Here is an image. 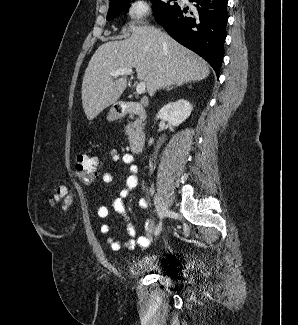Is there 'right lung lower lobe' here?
Masks as SVG:
<instances>
[{"instance_id":"1","label":"right lung lower lobe","mask_w":298,"mask_h":325,"mask_svg":"<svg viewBox=\"0 0 298 325\" xmlns=\"http://www.w3.org/2000/svg\"><path fill=\"white\" fill-rule=\"evenodd\" d=\"M194 12L177 6L156 17L167 33L203 57L219 75L224 54L228 0H189ZM188 13V14H187Z\"/></svg>"}]
</instances>
